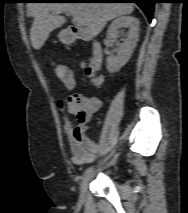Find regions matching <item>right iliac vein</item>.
I'll use <instances>...</instances> for the list:
<instances>
[{
  "label": "right iliac vein",
  "instance_id": "1",
  "mask_svg": "<svg viewBox=\"0 0 188 213\" xmlns=\"http://www.w3.org/2000/svg\"><path fill=\"white\" fill-rule=\"evenodd\" d=\"M117 157H118V154H116L115 157L107 164V167L113 165L115 163ZM92 177H93L92 172L84 177L81 187H80V198L83 199L85 197V194H86L87 188H88V184Z\"/></svg>",
  "mask_w": 188,
  "mask_h": 213
}]
</instances>
